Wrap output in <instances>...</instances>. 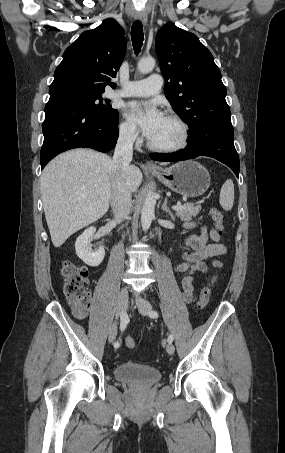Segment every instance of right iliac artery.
Segmentation results:
<instances>
[{
  "label": "right iliac artery",
  "mask_w": 285,
  "mask_h": 453,
  "mask_svg": "<svg viewBox=\"0 0 285 453\" xmlns=\"http://www.w3.org/2000/svg\"><path fill=\"white\" fill-rule=\"evenodd\" d=\"M127 323H128V317H127L126 313L124 312V313H122V315H121V322H120V330H121V331H124V330H125V328H126V326H127ZM119 346H120L119 341H116V342L114 343V347H115V348H118Z\"/></svg>",
  "instance_id": "obj_1"
}]
</instances>
